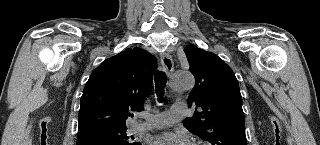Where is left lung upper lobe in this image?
Wrapping results in <instances>:
<instances>
[{"label": "left lung upper lobe", "instance_id": "1", "mask_svg": "<svg viewBox=\"0 0 320 145\" xmlns=\"http://www.w3.org/2000/svg\"><path fill=\"white\" fill-rule=\"evenodd\" d=\"M184 52L196 81L188 105L200 110L183 125L211 145H247L242 97L234 72L217 55L193 44Z\"/></svg>", "mask_w": 320, "mask_h": 145}]
</instances>
